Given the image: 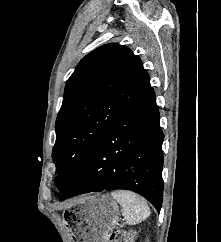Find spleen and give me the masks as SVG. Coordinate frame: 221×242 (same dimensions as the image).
Listing matches in <instances>:
<instances>
[{
	"instance_id": "3e777b00",
	"label": "spleen",
	"mask_w": 221,
	"mask_h": 242,
	"mask_svg": "<svg viewBox=\"0 0 221 242\" xmlns=\"http://www.w3.org/2000/svg\"><path fill=\"white\" fill-rule=\"evenodd\" d=\"M111 196L122 207V215L128 225H136L150 215V208L141 196L126 190L111 192Z\"/></svg>"
}]
</instances>
